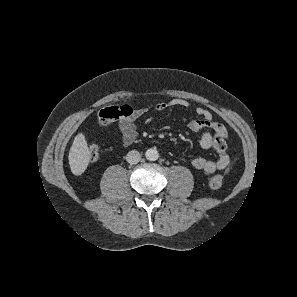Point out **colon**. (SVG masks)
<instances>
[{"label": "colon", "instance_id": "obj_1", "mask_svg": "<svg viewBox=\"0 0 297 297\" xmlns=\"http://www.w3.org/2000/svg\"><path fill=\"white\" fill-rule=\"evenodd\" d=\"M134 109L129 105H115L102 109L99 113V122L101 125L106 126L114 120L122 117H128L133 114ZM214 149L218 153H224L226 151V141L221 135L216 136L214 140ZM101 149L98 145H91L88 149L89 159L95 161L99 158ZM224 177L221 174L213 175L209 179V186L212 189H218L222 186Z\"/></svg>", "mask_w": 297, "mask_h": 297}]
</instances>
